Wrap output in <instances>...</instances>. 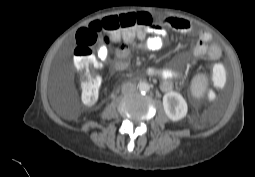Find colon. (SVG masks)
Segmentation results:
<instances>
[{
    "label": "colon",
    "mask_w": 255,
    "mask_h": 177,
    "mask_svg": "<svg viewBox=\"0 0 255 177\" xmlns=\"http://www.w3.org/2000/svg\"><path fill=\"white\" fill-rule=\"evenodd\" d=\"M153 23L152 16L146 12L126 13L106 17L77 31L73 62L84 73L81 97L85 103L92 104L97 100L101 82L93 48L131 39L153 26Z\"/></svg>",
    "instance_id": "obj_1"
}]
</instances>
